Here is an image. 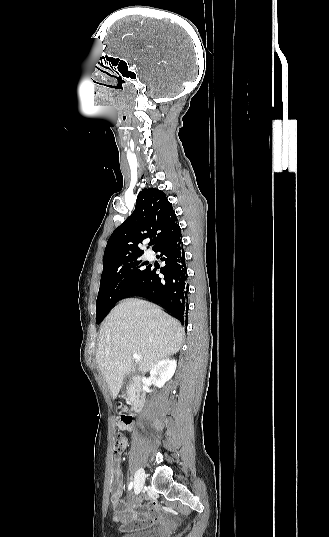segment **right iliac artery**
I'll list each match as a JSON object with an SVG mask.
<instances>
[{
    "instance_id": "82829eb1",
    "label": "right iliac artery",
    "mask_w": 329,
    "mask_h": 537,
    "mask_svg": "<svg viewBox=\"0 0 329 537\" xmlns=\"http://www.w3.org/2000/svg\"><path fill=\"white\" fill-rule=\"evenodd\" d=\"M132 487H133V482L131 481V482L129 483V485H128V491H130V490L132 489Z\"/></svg>"
}]
</instances>
